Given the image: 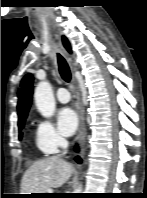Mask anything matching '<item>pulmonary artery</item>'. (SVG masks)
I'll return each instance as SVG.
<instances>
[{"label":"pulmonary artery","mask_w":147,"mask_h":198,"mask_svg":"<svg viewBox=\"0 0 147 198\" xmlns=\"http://www.w3.org/2000/svg\"><path fill=\"white\" fill-rule=\"evenodd\" d=\"M56 97L60 103H68L71 99L70 93L63 87L57 90Z\"/></svg>","instance_id":"obj_1"}]
</instances>
